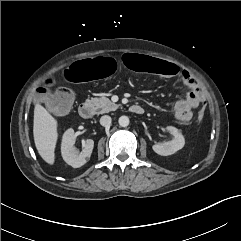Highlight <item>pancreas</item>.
<instances>
[{
    "instance_id": "obj_1",
    "label": "pancreas",
    "mask_w": 241,
    "mask_h": 241,
    "mask_svg": "<svg viewBox=\"0 0 241 241\" xmlns=\"http://www.w3.org/2000/svg\"><path fill=\"white\" fill-rule=\"evenodd\" d=\"M88 101L93 106L96 114L108 113L110 111L116 110L119 107L117 104L112 103L110 99L106 97L91 98Z\"/></svg>"
}]
</instances>
